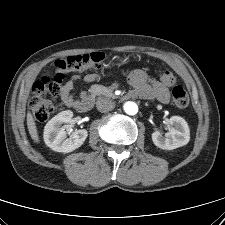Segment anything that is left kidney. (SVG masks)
Wrapping results in <instances>:
<instances>
[{"label":"left kidney","mask_w":225,"mask_h":225,"mask_svg":"<svg viewBox=\"0 0 225 225\" xmlns=\"http://www.w3.org/2000/svg\"><path fill=\"white\" fill-rule=\"evenodd\" d=\"M171 128L165 136L161 132L152 133L153 143L163 150H173L186 145L190 140V132L187 122L179 116L169 119Z\"/></svg>","instance_id":"5707ae66"}]
</instances>
